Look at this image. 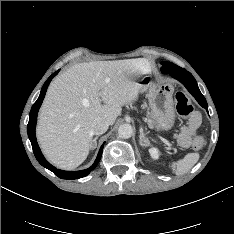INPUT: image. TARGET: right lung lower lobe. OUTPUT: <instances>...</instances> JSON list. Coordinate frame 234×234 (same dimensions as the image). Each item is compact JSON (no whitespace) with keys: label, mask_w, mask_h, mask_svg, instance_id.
Here are the masks:
<instances>
[{"label":"right lung lower lobe","mask_w":234,"mask_h":234,"mask_svg":"<svg viewBox=\"0 0 234 234\" xmlns=\"http://www.w3.org/2000/svg\"><path fill=\"white\" fill-rule=\"evenodd\" d=\"M59 72L56 71L55 73H53L44 83L40 95L37 99V101L33 104L30 114H29V123L27 125V132H28V137L31 141L32 144V148H33V152L34 155L36 157V159L38 160V162L45 168L49 169L50 171H52L55 175H57L59 178L62 179H78V178H82L86 175L89 174V172H91L98 164V162L101 159V155H102V150H103V146L104 144L101 146L97 159L95 160L94 164L86 169V170H81V171H62L59 169H56L54 166H52L51 164H49L46 159L44 158V156L42 155L40 148L37 144L36 141V136H35V127H36V122H37V113L39 111V108L43 102V99L45 97L46 91H47V87L49 85V83L51 82V80L53 79V77L55 75H57V73Z\"/></svg>","instance_id":"obj_1"}]
</instances>
